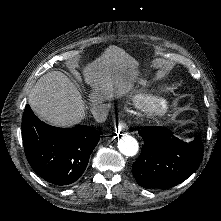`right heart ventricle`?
Instances as JSON below:
<instances>
[{
  "instance_id": "1",
  "label": "right heart ventricle",
  "mask_w": 221,
  "mask_h": 221,
  "mask_svg": "<svg viewBox=\"0 0 221 221\" xmlns=\"http://www.w3.org/2000/svg\"><path fill=\"white\" fill-rule=\"evenodd\" d=\"M133 99H134V102L135 103H142V106L143 107H153V108H155V107H170L171 106V103H172V101H171V98L170 97H167V96H164V97H161V98H155V97H153V98H148L147 97V94L146 93H135L134 94V97H133Z\"/></svg>"
}]
</instances>
